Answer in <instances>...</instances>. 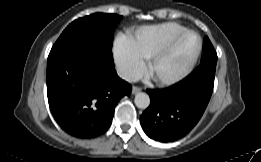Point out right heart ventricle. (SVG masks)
<instances>
[{
  "label": "right heart ventricle",
  "mask_w": 261,
  "mask_h": 162,
  "mask_svg": "<svg viewBox=\"0 0 261 162\" xmlns=\"http://www.w3.org/2000/svg\"><path fill=\"white\" fill-rule=\"evenodd\" d=\"M186 30L175 22L144 26L135 30L128 38L132 49L142 58H150L174 35Z\"/></svg>",
  "instance_id": "obj_1"
}]
</instances>
